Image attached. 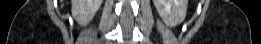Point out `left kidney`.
Listing matches in <instances>:
<instances>
[{
    "mask_svg": "<svg viewBox=\"0 0 261 44\" xmlns=\"http://www.w3.org/2000/svg\"><path fill=\"white\" fill-rule=\"evenodd\" d=\"M153 2L167 26L175 27L184 21L188 0H153Z\"/></svg>",
    "mask_w": 261,
    "mask_h": 44,
    "instance_id": "left-kidney-1",
    "label": "left kidney"
}]
</instances>
